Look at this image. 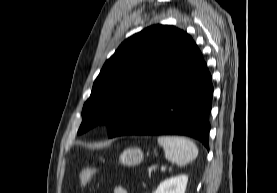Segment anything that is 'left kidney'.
<instances>
[{"label":"left kidney","mask_w":277,"mask_h":193,"mask_svg":"<svg viewBox=\"0 0 277 193\" xmlns=\"http://www.w3.org/2000/svg\"><path fill=\"white\" fill-rule=\"evenodd\" d=\"M187 182V175L175 176L161 182L154 193H185Z\"/></svg>","instance_id":"5707ae66"}]
</instances>
